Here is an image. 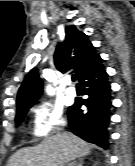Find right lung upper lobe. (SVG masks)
Instances as JSON below:
<instances>
[{
    "label": "right lung upper lobe",
    "instance_id": "cb5924a9",
    "mask_svg": "<svg viewBox=\"0 0 135 166\" xmlns=\"http://www.w3.org/2000/svg\"><path fill=\"white\" fill-rule=\"evenodd\" d=\"M65 40L58 43L54 54L56 68L65 73L74 68L75 73L80 77L101 60L95 52V47L88 40V36L77 30L75 26L65 28ZM42 94V80L37 70H32L25 77L19 88L16 107L33 105Z\"/></svg>",
    "mask_w": 135,
    "mask_h": 166
}]
</instances>
